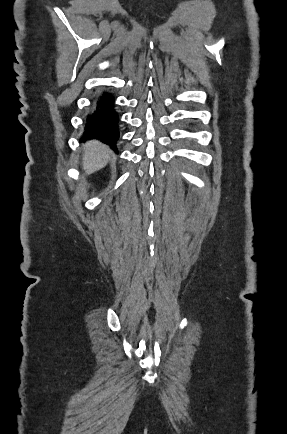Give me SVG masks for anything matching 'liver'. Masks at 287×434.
<instances>
[{
  "instance_id": "obj_1",
  "label": "liver",
  "mask_w": 287,
  "mask_h": 434,
  "mask_svg": "<svg viewBox=\"0 0 287 434\" xmlns=\"http://www.w3.org/2000/svg\"><path fill=\"white\" fill-rule=\"evenodd\" d=\"M83 169L87 174H92L106 166L112 151L99 141H88L83 145Z\"/></svg>"
}]
</instances>
